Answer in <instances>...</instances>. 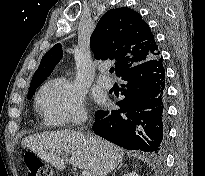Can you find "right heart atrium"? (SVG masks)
Listing matches in <instances>:
<instances>
[{"label":"right heart atrium","mask_w":205,"mask_h":176,"mask_svg":"<svg viewBox=\"0 0 205 176\" xmlns=\"http://www.w3.org/2000/svg\"><path fill=\"white\" fill-rule=\"evenodd\" d=\"M36 107L44 123L55 128L80 123L86 116L83 93L59 78L46 82L39 89Z\"/></svg>","instance_id":"d8ad5b80"}]
</instances>
